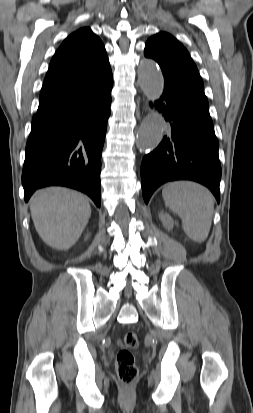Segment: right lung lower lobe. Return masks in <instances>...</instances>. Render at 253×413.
<instances>
[{
    "label": "right lung lower lobe",
    "instance_id": "obj_1",
    "mask_svg": "<svg viewBox=\"0 0 253 413\" xmlns=\"http://www.w3.org/2000/svg\"><path fill=\"white\" fill-rule=\"evenodd\" d=\"M112 87L111 74L93 95L32 124L22 171L26 202L36 189L60 185L86 193L100 207L101 153Z\"/></svg>",
    "mask_w": 253,
    "mask_h": 413
}]
</instances>
